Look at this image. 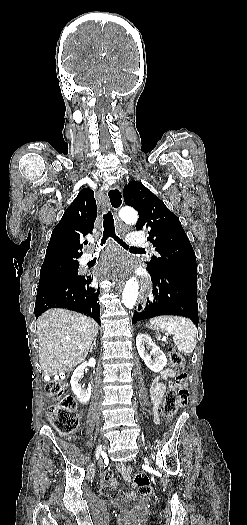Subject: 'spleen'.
<instances>
[{"label":"spleen","mask_w":247,"mask_h":525,"mask_svg":"<svg viewBox=\"0 0 247 525\" xmlns=\"http://www.w3.org/2000/svg\"><path fill=\"white\" fill-rule=\"evenodd\" d=\"M150 327L167 331L169 335H173L172 339L179 353H183V355L193 353L197 343V329L190 319H186V317H154L150 321Z\"/></svg>","instance_id":"1"}]
</instances>
